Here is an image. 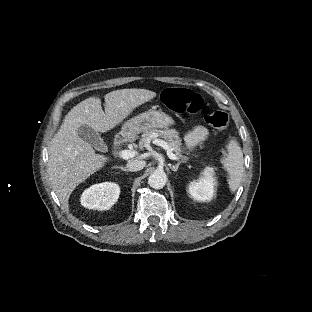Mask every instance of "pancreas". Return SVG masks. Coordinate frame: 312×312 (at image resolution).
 <instances>
[{
	"label": "pancreas",
	"instance_id": "pancreas-1",
	"mask_svg": "<svg viewBox=\"0 0 312 312\" xmlns=\"http://www.w3.org/2000/svg\"><path fill=\"white\" fill-rule=\"evenodd\" d=\"M156 137L163 138L168 146L173 149L176 155L181 156L182 153L188 154V152H185L183 148H181V138L179 137V133L175 129H164V130H158V129H151L146 131L142 134V138L139 141V147L144 148L147 147L152 140H154ZM184 160L186 159L183 157Z\"/></svg>",
	"mask_w": 312,
	"mask_h": 312
}]
</instances>
